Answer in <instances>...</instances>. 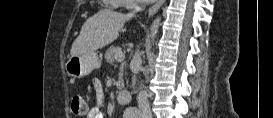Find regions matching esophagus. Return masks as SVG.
Segmentation results:
<instances>
[{
    "label": "esophagus",
    "instance_id": "obj_1",
    "mask_svg": "<svg viewBox=\"0 0 273 118\" xmlns=\"http://www.w3.org/2000/svg\"><path fill=\"white\" fill-rule=\"evenodd\" d=\"M165 0H159L157 1L150 9H149V12H148V16H152L154 15L158 9L164 4Z\"/></svg>",
    "mask_w": 273,
    "mask_h": 118
}]
</instances>
